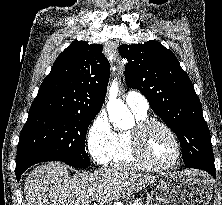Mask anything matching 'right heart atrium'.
Here are the masks:
<instances>
[{"label": "right heart atrium", "instance_id": "d8ad5b80", "mask_svg": "<svg viewBox=\"0 0 222 205\" xmlns=\"http://www.w3.org/2000/svg\"><path fill=\"white\" fill-rule=\"evenodd\" d=\"M115 133L103 113L98 114L87 131V146L97 163H106L114 143Z\"/></svg>", "mask_w": 222, "mask_h": 205}]
</instances>
